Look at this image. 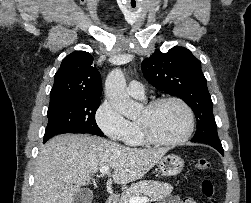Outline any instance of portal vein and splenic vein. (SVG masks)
<instances>
[{
  "label": "portal vein and splenic vein",
  "instance_id": "1",
  "mask_svg": "<svg viewBox=\"0 0 251 203\" xmlns=\"http://www.w3.org/2000/svg\"><path fill=\"white\" fill-rule=\"evenodd\" d=\"M101 174H109L110 168L109 167H102L100 169ZM149 199L147 197H131L129 199V203H148Z\"/></svg>",
  "mask_w": 251,
  "mask_h": 203
}]
</instances>
